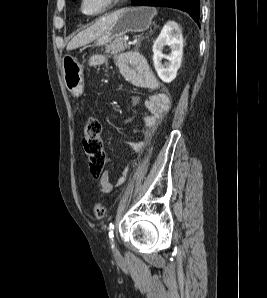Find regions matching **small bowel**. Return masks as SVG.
Masks as SVG:
<instances>
[{
    "label": "small bowel",
    "mask_w": 267,
    "mask_h": 298,
    "mask_svg": "<svg viewBox=\"0 0 267 298\" xmlns=\"http://www.w3.org/2000/svg\"><path fill=\"white\" fill-rule=\"evenodd\" d=\"M116 65L122 76L135 86L156 91L146 101V109L149 115L144 117V135L149 137L157 128L170 108V99L166 92L161 90V83L153 74L147 59L138 52L128 51L115 56ZM106 63L103 55H94L89 60L92 68L102 66ZM124 177L118 179L116 186L123 183ZM100 192L110 193L114 186L109 180L108 172H103L99 177Z\"/></svg>",
    "instance_id": "1"
}]
</instances>
